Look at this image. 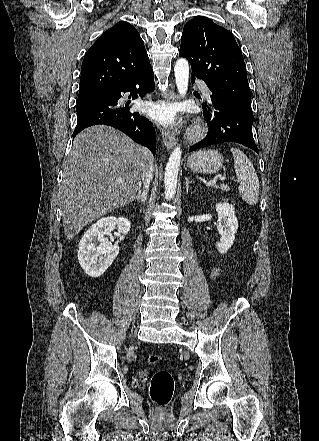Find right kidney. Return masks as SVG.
Listing matches in <instances>:
<instances>
[{
    "instance_id": "obj_1",
    "label": "right kidney",
    "mask_w": 319,
    "mask_h": 441,
    "mask_svg": "<svg viewBox=\"0 0 319 441\" xmlns=\"http://www.w3.org/2000/svg\"><path fill=\"white\" fill-rule=\"evenodd\" d=\"M115 228L120 234L126 235L130 231L131 223L123 217H104L90 226L81 238L78 260L82 269L90 277L101 276L119 254L118 243L112 244L105 238ZM97 241L100 242L99 245L96 244Z\"/></svg>"
}]
</instances>
